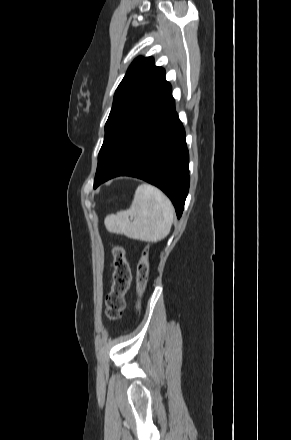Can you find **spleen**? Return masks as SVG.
<instances>
[{"mask_svg":"<svg viewBox=\"0 0 291 440\" xmlns=\"http://www.w3.org/2000/svg\"><path fill=\"white\" fill-rule=\"evenodd\" d=\"M174 208L166 195L156 187L144 183L137 187L129 209L105 218L106 229L128 238L158 242L170 233Z\"/></svg>","mask_w":291,"mask_h":440,"instance_id":"obj_1","label":"spleen"}]
</instances>
